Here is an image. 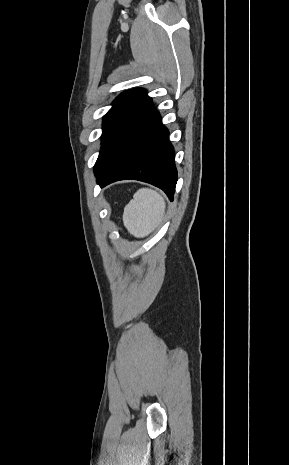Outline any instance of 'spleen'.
Returning <instances> with one entry per match:
<instances>
[{"label": "spleen", "instance_id": "spleen-1", "mask_svg": "<svg viewBox=\"0 0 289 465\" xmlns=\"http://www.w3.org/2000/svg\"><path fill=\"white\" fill-rule=\"evenodd\" d=\"M165 207L164 198L158 192L148 188L139 189L124 208V226L134 237L143 238L158 227Z\"/></svg>", "mask_w": 289, "mask_h": 465}]
</instances>
